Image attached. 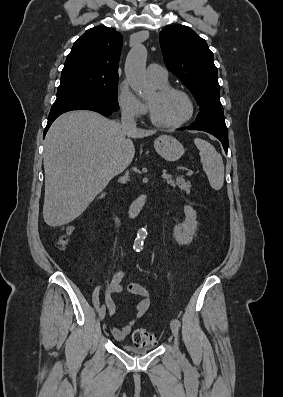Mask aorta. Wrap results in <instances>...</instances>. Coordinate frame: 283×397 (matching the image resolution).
Here are the masks:
<instances>
[{"label": "aorta", "mask_w": 283, "mask_h": 397, "mask_svg": "<svg viewBox=\"0 0 283 397\" xmlns=\"http://www.w3.org/2000/svg\"><path fill=\"white\" fill-rule=\"evenodd\" d=\"M146 59L147 50L139 44L131 49L125 62V74L126 78L132 88V90L139 96L147 95L151 86L146 77ZM147 232L141 228L137 232V236L134 242V248L141 250L144 245Z\"/></svg>", "instance_id": "obj_1"}]
</instances>
